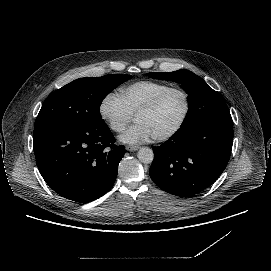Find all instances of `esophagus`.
<instances>
[{
    "label": "esophagus",
    "mask_w": 271,
    "mask_h": 271,
    "mask_svg": "<svg viewBox=\"0 0 271 271\" xmlns=\"http://www.w3.org/2000/svg\"><path fill=\"white\" fill-rule=\"evenodd\" d=\"M139 149V147L138 146H133V145H127L126 146V150L127 151H137Z\"/></svg>",
    "instance_id": "obj_1"
}]
</instances>
